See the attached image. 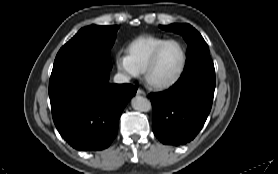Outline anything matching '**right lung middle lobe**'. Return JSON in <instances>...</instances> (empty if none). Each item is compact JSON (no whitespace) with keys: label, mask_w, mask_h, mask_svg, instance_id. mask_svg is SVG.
<instances>
[{"label":"right lung middle lobe","mask_w":278,"mask_h":174,"mask_svg":"<svg viewBox=\"0 0 278 174\" xmlns=\"http://www.w3.org/2000/svg\"><path fill=\"white\" fill-rule=\"evenodd\" d=\"M118 28L119 26L97 25L82 28L59 50L52 71L72 64L110 70V49Z\"/></svg>","instance_id":"1"}]
</instances>
